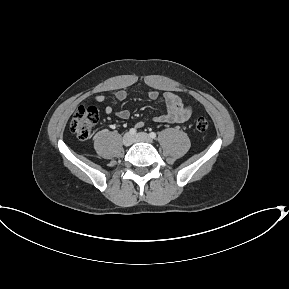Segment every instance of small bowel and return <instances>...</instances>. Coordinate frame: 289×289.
I'll return each mask as SVG.
<instances>
[{
	"instance_id": "small-bowel-1",
	"label": "small bowel",
	"mask_w": 289,
	"mask_h": 289,
	"mask_svg": "<svg viewBox=\"0 0 289 289\" xmlns=\"http://www.w3.org/2000/svg\"><path fill=\"white\" fill-rule=\"evenodd\" d=\"M114 97L117 101H123L128 97L126 90H116ZM151 100H162L166 105V112L162 115L154 117V121L161 123H184L189 120L192 110L189 104L185 103L178 95L173 92H165L162 95L155 90H149L147 93ZM96 102L105 103L106 97L104 95H97L95 97ZM113 108L110 105L105 107V113L111 114ZM116 115L121 119H128L130 117V111L123 109L116 112ZM144 126V122L137 123V127Z\"/></svg>"
}]
</instances>
